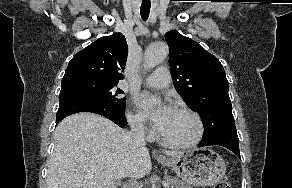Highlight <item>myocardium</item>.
Returning a JSON list of instances; mask_svg holds the SVG:
<instances>
[{"mask_svg": "<svg viewBox=\"0 0 292 188\" xmlns=\"http://www.w3.org/2000/svg\"><path fill=\"white\" fill-rule=\"evenodd\" d=\"M173 109L181 111V112H185L193 117V119L195 120L196 125H197V131H196L195 136L186 142H172V141L165 139L157 130L156 131L157 140L162 145L169 147V148H173V149L189 148V147H192V146L196 145L197 143H199L201 141V139L203 138L204 133H205V125H204V122H203V119L201 118V116L196 111H194L190 107L183 105V104H177L173 107Z\"/></svg>", "mask_w": 292, "mask_h": 188, "instance_id": "obj_1", "label": "myocardium"}]
</instances>
